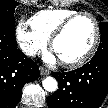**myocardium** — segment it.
Segmentation results:
<instances>
[{"label":"myocardium","instance_id":"f54148a6","mask_svg":"<svg viewBox=\"0 0 108 108\" xmlns=\"http://www.w3.org/2000/svg\"><path fill=\"white\" fill-rule=\"evenodd\" d=\"M81 17H87L92 21V23L94 25V38H93V41H92L90 47L82 56H80L79 58H77L75 60H71V61H61V64L67 68H76V67H79V66L85 64L87 61H89L92 58V56L94 55V53L98 47L99 41H100V26H99V23H98V20L96 19V17L89 12H77V13L69 16L68 18H66L53 32V34L50 37L51 48L54 47V44L57 41V39H59L65 33V31L68 29V27L75 20H77L78 18H81Z\"/></svg>","mask_w":108,"mask_h":108}]
</instances>
